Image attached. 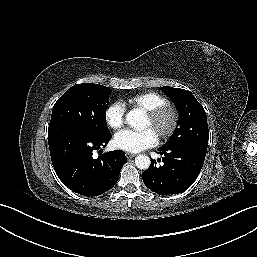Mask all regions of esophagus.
I'll return each mask as SVG.
<instances>
[{
    "label": "esophagus",
    "instance_id": "34e87169",
    "mask_svg": "<svg viewBox=\"0 0 257 257\" xmlns=\"http://www.w3.org/2000/svg\"><path fill=\"white\" fill-rule=\"evenodd\" d=\"M126 157H127V159H130V158H133V157H135L136 155L135 154H133V153H129V152H126Z\"/></svg>",
    "mask_w": 257,
    "mask_h": 257
}]
</instances>
